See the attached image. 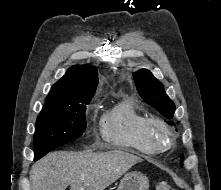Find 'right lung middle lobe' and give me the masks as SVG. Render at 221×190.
Here are the masks:
<instances>
[{
    "label": "right lung middle lobe",
    "instance_id": "obj_1",
    "mask_svg": "<svg viewBox=\"0 0 221 190\" xmlns=\"http://www.w3.org/2000/svg\"><path fill=\"white\" fill-rule=\"evenodd\" d=\"M90 101L91 99L72 107H43L36 122L35 161L82 135L86 129V105Z\"/></svg>",
    "mask_w": 221,
    "mask_h": 190
}]
</instances>
